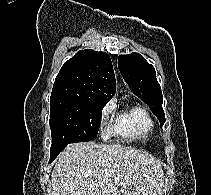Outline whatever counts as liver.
I'll use <instances>...</instances> for the list:
<instances>
[{
	"mask_svg": "<svg viewBox=\"0 0 211 195\" xmlns=\"http://www.w3.org/2000/svg\"><path fill=\"white\" fill-rule=\"evenodd\" d=\"M52 195H162L161 162L120 144L68 145L52 174Z\"/></svg>",
	"mask_w": 211,
	"mask_h": 195,
	"instance_id": "6515ba94",
	"label": "liver"
}]
</instances>
